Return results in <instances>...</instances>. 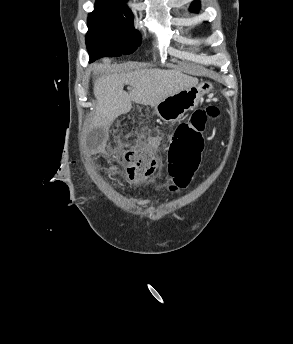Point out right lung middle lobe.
Returning a JSON list of instances; mask_svg holds the SVG:
<instances>
[{
  "label": "right lung middle lobe",
  "instance_id": "1",
  "mask_svg": "<svg viewBox=\"0 0 293 344\" xmlns=\"http://www.w3.org/2000/svg\"><path fill=\"white\" fill-rule=\"evenodd\" d=\"M132 20L130 10L95 5V10L88 16L86 35L90 62L104 56L132 53L141 42L140 34L134 29Z\"/></svg>",
  "mask_w": 293,
  "mask_h": 344
}]
</instances>
